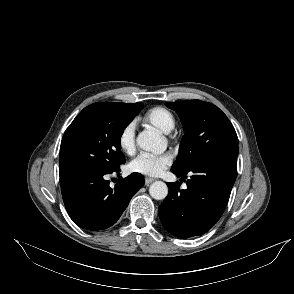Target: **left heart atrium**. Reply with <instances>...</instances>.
Masks as SVG:
<instances>
[{
  "instance_id": "39dd6f15",
  "label": "left heart atrium",
  "mask_w": 294,
  "mask_h": 294,
  "mask_svg": "<svg viewBox=\"0 0 294 294\" xmlns=\"http://www.w3.org/2000/svg\"><path fill=\"white\" fill-rule=\"evenodd\" d=\"M172 163L169 154H140L128 164L129 171L146 176H159Z\"/></svg>"
}]
</instances>
